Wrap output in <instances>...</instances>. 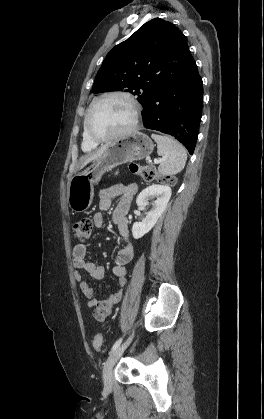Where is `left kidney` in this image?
I'll use <instances>...</instances> for the list:
<instances>
[{
    "instance_id": "5707ae66",
    "label": "left kidney",
    "mask_w": 264,
    "mask_h": 419,
    "mask_svg": "<svg viewBox=\"0 0 264 419\" xmlns=\"http://www.w3.org/2000/svg\"><path fill=\"white\" fill-rule=\"evenodd\" d=\"M171 197V188L167 185L153 184L140 192L136 203L139 207L148 205L152 198L156 200L152 203L151 210L146 214L142 222H135L132 226V235L135 239L143 237L156 224L159 217L166 209Z\"/></svg>"
}]
</instances>
